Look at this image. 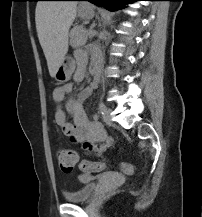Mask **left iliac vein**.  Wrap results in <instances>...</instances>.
Listing matches in <instances>:
<instances>
[{
	"instance_id": "4c4485c4",
	"label": "left iliac vein",
	"mask_w": 202,
	"mask_h": 217,
	"mask_svg": "<svg viewBox=\"0 0 202 217\" xmlns=\"http://www.w3.org/2000/svg\"><path fill=\"white\" fill-rule=\"evenodd\" d=\"M103 121L106 124H111V109H106L103 114Z\"/></svg>"
}]
</instances>
